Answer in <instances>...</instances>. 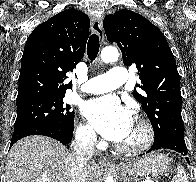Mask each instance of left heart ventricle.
<instances>
[{
  "label": "left heart ventricle",
  "instance_id": "1",
  "mask_svg": "<svg viewBox=\"0 0 196 182\" xmlns=\"http://www.w3.org/2000/svg\"><path fill=\"white\" fill-rule=\"evenodd\" d=\"M143 137V132L140 125L133 121L130 131L128 134L118 143L123 146H133L138 144Z\"/></svg>",
  "mask_w": 196,
  "mask_h": 182
}]
</instances>
